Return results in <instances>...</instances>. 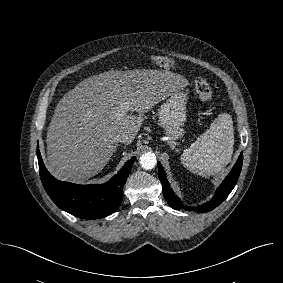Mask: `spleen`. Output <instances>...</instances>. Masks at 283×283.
<instances>
[{
	"label": "spleen",
	"mask_w": 283,
	"mask_h": 283,
	"mask_svg": "<svg viewBox=\"0 0 283 283\" xmlns=\"http://www.w3.org/2000/svg\"><path fill=\"white\" fill-rule=\"evenodd\" d=\"M234 146L232 117L220 114L191 146L184 150L181 163L201 176L214 175L230 163Z\"/></svg>",
	"instance_id": "obj_1"
}]
</instances>
